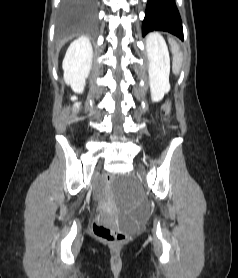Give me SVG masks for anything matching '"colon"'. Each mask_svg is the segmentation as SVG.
<instances>
[{
  "label": "colon",
  "instance_id": "5ec220e1",
  "mask_svg": "<svg viewBox=\"0 0 238 278\" xmlns=\"http://www.w3.org/2000/svg\"><path fill=\"white\" fill-rule=\"evenodd\" d=\"M168 113L169 105H165L163 108V114L168 115ZM112 178V174H105L103 177L102 187L110 188L111 185L114 184ZM93 232L99 239L113 244H121L128 238V234L124 230L115 225H111L100 220H96L93 223Z\"/></svg>",
  "mask_w": 238,
  "mask_h": 278
}]
</instances>
